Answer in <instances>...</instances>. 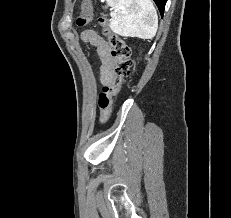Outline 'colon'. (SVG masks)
<instances>
[{"mask_svg":"<svg viewBox=\"0 0 231 218\" xmlns=\"http://www.w3.org/2000/svg\"><path fill=\"white\" fill-rule=\"evenodd\" d=\"M93 19L92 4L90 0H83L81 4V13L77 18L78 26H86ZM100 26L103 29V35L107 37L111 46V53L115 59V74L112 82L104 87L99 95V108L101 124L108 121L111 112L113 99L119 92L122 83L131 73L132 59L131 49L125 41L115 34L110 28L106 15H101L98 19Z\"/></svg>","mask_w":231,"mask_h":218,"instance_id":"obj_1","label":"colon"}]
</instances>
